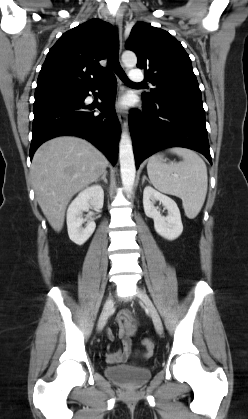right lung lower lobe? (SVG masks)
<instances>
[{"instance_id": "right-lung-lower-lobe-1", "label": "right lung lower lobe", "mask_w": 248, "mask_h": 419, "mask_svg": "<svg viewBox=\"0 0 248 419\" xmlns=\"http://www.w3.org/2000/svg\"><path fill=\"white\" fill-rule=\"evenodd\" d=\"M96 89H102L101 103L96 104L99 114L89 111L95 106L84 103L89 91ZM116 89V78L110 72L101 82L79 92L35 96L30 158L43 142L60 135H75L93 143L115 164L120 135Z\"/></svg>"}]
</instances>
